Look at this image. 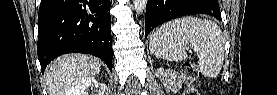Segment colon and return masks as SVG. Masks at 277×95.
<instances>
[{
    "instance_id": "obj_1",
    "label": "colon",
    "mask_w": 277,
    "mask_h": 95,
    "mask_svg": "<svg viewBox=\"0 0 277 95\" xmlns=\"http://www.w3.org/2000/svg\"><path fill=\"white\" fill-rule=\"evenodd\" d=\"M182 75L186 83L184 95L198 94L194 81L198 75V66L195 63H186L182 67Z\"/></svg>"
}]
</instances>
